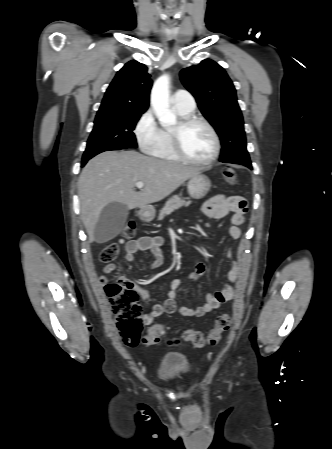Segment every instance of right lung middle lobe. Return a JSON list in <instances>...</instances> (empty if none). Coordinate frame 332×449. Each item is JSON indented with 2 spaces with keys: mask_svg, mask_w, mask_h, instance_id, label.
Instances as JSON below:
<instances>
[{
  "mask_svg": "<svg viewBox=\"0 0 332 449\" xmlns=\"http://www.w3.org/2000/svg\"><path fill=\"white\" fill-rule=\"evenodd\" d=\"M142 113H115L96 116L82 159L110 150L137 148L133 130Z\"/></svg>",
  "mask_w": 332,
  "mask_h": 449,
  "instance_id": "right-lung-middle-lobe-1",
  "label": "right lung middle lobe"
}]
</instances>
